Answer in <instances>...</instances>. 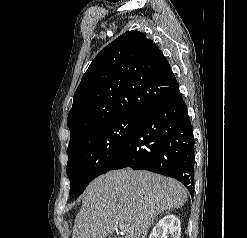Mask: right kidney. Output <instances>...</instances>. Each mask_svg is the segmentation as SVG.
Segmentation results:
<instances>
[{
	"mask_svg": "<svg viewBox=\"0 0 247 238\" xmlns=\"http://www.w3.org/2000/svg\"><path fill=\"white\" fill-rule=\"evenodd\" d=\"M180 235V219L173 214H168L155 225L149 238H180Z\"/></svg>",
	"mask_w": 247,
	"mask_h": 238,
	"instance_id": "1",
	"label": "right kidney"
}]
</instances>
